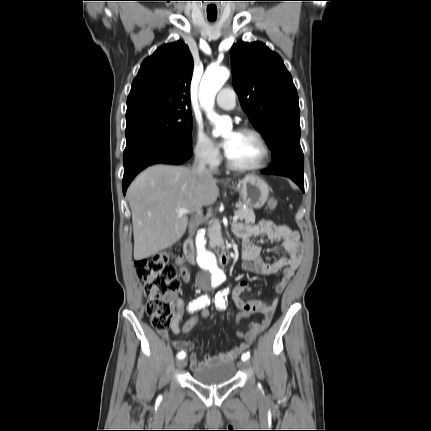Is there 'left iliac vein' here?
Listing matches in <instances>:
<instances>
[{"mask_svg": "<svg viewBox=\"0 0 431 431\" xmlns=\"http://www.w3.org/2000/svg\"><path fill=\"white\" fill-rule=\"evenodd\" d=\"M240 366L244 367V368H250L251 367V363H250V361L248 359H246V360H244V361H242L240 363Z\"/></svg>", "mask_w": 431, "mask_h": 431, "instance_id": "4c4485c4", "label": "left iliac vein"}]
</instances>
